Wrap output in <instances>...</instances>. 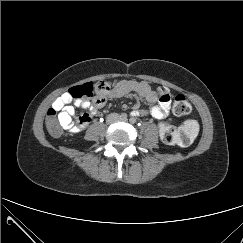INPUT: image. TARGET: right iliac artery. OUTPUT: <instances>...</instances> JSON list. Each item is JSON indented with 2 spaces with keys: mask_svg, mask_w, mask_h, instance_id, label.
<instances>
[{
  "mask_svg": "<svg viewBox=\"0 0 243 243\" xmlns=\"http://www.w3.org/2000/svg\"><path fill=\"white\" fill-rule=\"evenodd\" d=\"M120 118H121V119H127V114H126V113H122V114L120 115Z\"/></svg>",
  "mask_w": 243,
  "mask_h": 243,
  "instance_id": "right-iliac-artery-1",
  "label": "right iliac artery"
}]
</instances>
